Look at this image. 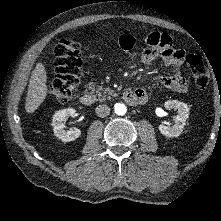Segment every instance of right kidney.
I'll use <instances>...</instances> for the list:
<instances>
[{
  "label": "right kidney",
  "instance_id": "obj_1",
  "mask_svg": "<svg viewBox=\"0 0 221 221\" xmlns=\"http://www.w3.org/2000/svg\"><path fill=\"white\" fill-rule=\"evenodd\" d=\"M75 113H76L75 109L67 108L59 110L53 115L52 126H53L54 135L57 138L61 139L63 142L74 141L81 135V131L78 128H74L69 131L64 130L65 126L63 124V120L66 119L67 117L75 116Z\"/></svg>",
  "mask_w": 221,
  "mask_h": 221
}]
</instances>
